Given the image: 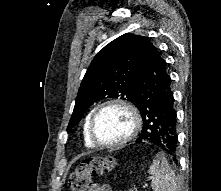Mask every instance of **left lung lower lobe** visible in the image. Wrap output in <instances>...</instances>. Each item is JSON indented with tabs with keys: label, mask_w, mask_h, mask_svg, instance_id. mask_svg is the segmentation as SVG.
I'll return each mask as SVG.
<instances>
[{
	"label": "left lung lower lobe",
	"mask_w": 221,
	"mask_h": 191,
	"mask_svg": "<svg viewBox=\"0 0 221 191\" xmlns=\"http://www.w3.org/2000/svg\"><path fill=\"white\" fill-rule=\"evenodd\" d=\"M166 62L149 41L135 85V106L143 118L137 142H150L176 161L177 114Z\"/></svg>",
	"instance_id": "0a47b994"
}]
</instances>
